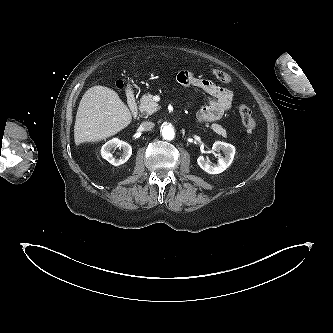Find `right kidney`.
I'll return each mask as SVG.
<instances>
[{
    "label": "right kidney",
    "instance_id": "right-kidney-1",
    "mask_svg": "<svg viewBox=\"0 0 333 333\" xmlns=\"http://www.w3.org/2000/svg\"><path fill=\"white\" fill-rule=\"evenodd\" d=\"M113 148H120L123 150V153L119 158H114L111 150ZM101 155L104 159H106L110 164L114 166H119L121 164H124L132 155V147L127 142L121 141L118 138H113L109 141H107L102 147H101Z\"/></svg>",
    "mask_w": 333,
    "mask_h": 333
}]
</instances>
